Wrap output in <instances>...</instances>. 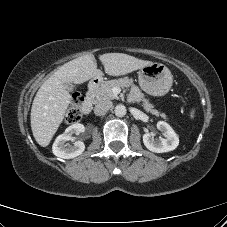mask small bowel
<instances>
[{"label": "small bowel", "mask_w": 227, "mask_h": 227, "mask_svg": "<svg viewBox=\"0 0 227 227\" xmlns=\"http://www.w3.org/2000/svg\"><path fill=\"white\" fill-rule=\"evenodd\" d=\"M133 97H134V98H138V92H137V91H134Z\"/></svg>", "instance_id": "obj_1"}]
</instances>
